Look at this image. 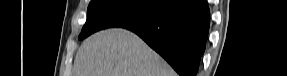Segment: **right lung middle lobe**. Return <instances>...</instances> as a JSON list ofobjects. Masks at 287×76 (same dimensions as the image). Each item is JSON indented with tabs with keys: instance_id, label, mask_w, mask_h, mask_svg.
Here are the masks:
<instances>
[{
	"instance_id": "obj_1",
	"label": "right lung middle lobe",
	"mask_w": 287,
	"mask_h": 76,
	"mask_svg": "<svg viewBox=\"0 0 287 76\" xmlns=\"http://www.w3.org/2000/svg\"><path fill=\"white\" fill-rule=\"evenodd\" d=\"M168 0H91L87 20L79 39L113 27L128 28L145 23L159 12Z\"/></svg>"
}]
</instances>
